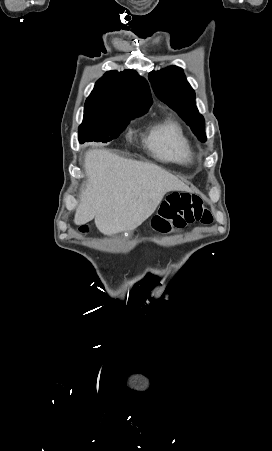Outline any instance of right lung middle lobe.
Here are the masks:
<instances>
[{"mask_svg": "<svg viewBox=\"0 0 272 451\" xmlns=\"http://www.w3.org/2000/svg\"><path fill=\"white\" fill-rule=\"evenodd\" d=\"M149 108L138 109H84V118L79 126V142L116 139L124 130L129 120L141 116Z\"/></svg>", "mask_w": 272, "mask_h": 451, "instance_id": "1", "label": "right lung middle lobe"}]
</instances>
